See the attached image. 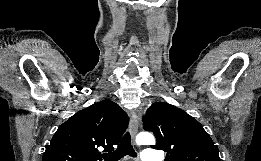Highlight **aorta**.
I'll use <instances>...</instances> for the list:
<instances>
[{
    "mask_svg": "<svg viewBox=\"0 0 261 161\" xmlns=\"http://www.w3.org/2000/svg\"><path fill=\"white\" fill-rule=\"evenodd\" d=\"M136 142L138 145H153L155 143V138L148 132H141L137 135Z\"/></svg>",
    "mask_w": 261,
    "mask_h": 161,
    "instance_id": "aorta-1",
    "label": "aorta"
}]
</instances>
